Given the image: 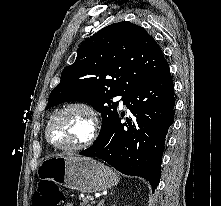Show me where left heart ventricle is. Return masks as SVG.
Wrapping results in <instances>:
<instances>
[{
  "label": "left heart ventricle",
  "instance_id": "obj_1",
  "mask_svg": "<svg viewBox=\"0 0 221 206\" xmlns=\"http://www.w3.org/2000/svg\"><path fill=\"white\" fill-rule=\"evenodd\" d=\"M89 119L79 110H71L58 117L51 126V140L58 145H71L85 139L89 133Z\"/></svg>",
  "mask_w": 221,
  "mask_h": 206
}]
</instances>
